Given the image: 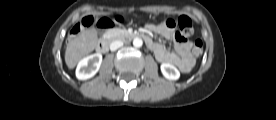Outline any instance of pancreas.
Returning <instances> with one entry per match:
<instances>
[{"instance_id": "cf45deb5", "label": "pancreas", "mask_w": 276, "mask_h": 120, "mask_svg": "<svg viewBox=\"0 0 276 120\" xmlns=\"http://www.w3.org/2000/svg\"><path fill=\"white\" fill-rule=\"evenodd\" d=\"M124 32H125L124 30L113 29L107 32V36L111 38H115V37L121 36L122 34H124Z\"/></svg>"}]
</instances>
